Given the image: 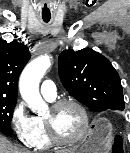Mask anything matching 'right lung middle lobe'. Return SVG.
Segmentation results:
<instances>
[{"label": "right lung middle lobe", "mask_w": 130, "mask_h": 153, "mask_svg": "<svg viewBox=\"0 0 130 153\" xmlns=\"http://www.w3.org/2000/svg\"><path fill=\"white\" fill-rule=\"evenodd\" d=\"M17 100L0 97V132L12 134L11 120Z\"/></svg>", "instance_id": "obj_1"}]
</instances>
